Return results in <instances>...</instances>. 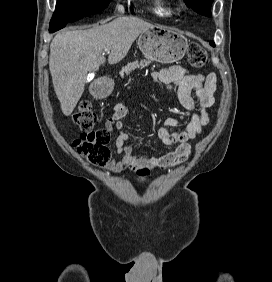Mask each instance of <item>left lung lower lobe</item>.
<instances>
[{"label": "left lung lower lobe", "mask_w": 272, "mask_h": 282, "mask_svg": "<svg viewBox=\"0 0 272 282\" xmlns=\"http://www.w3.org/2000/svg\"><path fill=\"white\" fill-rule=\"evenodd\" d=\"M210 44H211L212 46H215L214 42H210Z\"/></svg>", "instance_id": "0a47b994"}]
</instances>
